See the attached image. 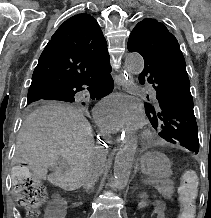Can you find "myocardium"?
Masks as SVG:
<instances>
[{
	"label": "myocardium",
	"mask_w": 211,
	"mask_h": 218,
	"mask_svg": "<svg viewBox=\"0 0 211 218\" xmlns=\"http://www.w3.org/2000/svg\"><path fill=\"white\" fill-rule=\"evenodd\" d=\"M150 138H151V135L149 133H144L142 135V141H144V142H148L150 140Z\"/></svg>",
	"instance_id": "myocardium-1"
}]
</instances>
